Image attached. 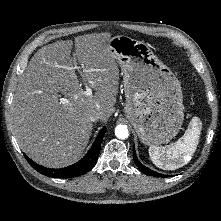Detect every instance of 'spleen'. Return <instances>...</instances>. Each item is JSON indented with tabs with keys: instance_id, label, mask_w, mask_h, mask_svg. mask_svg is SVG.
<instances>
[{
	"instance_id": "spleen-1",
	"label": "spleen",
	"mask_w": 221,
	"mask_h": 221,
	"mask_svg": "<svg viewBox=\"0 0 221 221\" xmlns=\"http://www.w3.org/2000/svg\"><path fill=\"white\" fill-rule=\"evenodd\" d=\"M202 123L198 117H193L184 135L167 148L149 147V156L159 168L175 170L190 162L199 143Z\"/></svg>"
}]
</instances>
